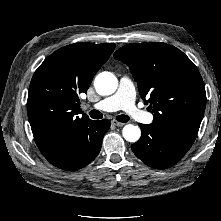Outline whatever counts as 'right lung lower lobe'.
Here are the masks:
<instances>
[{"mask_svg": "<svg viewBox=\"0 0 221 221\" xmlns=\"http://www.w3.org/2000/svg\"><path fill=\"white\" fill-rule=\"evenodd\" d=\"M109 127V120L92 121L83 128L76 139L43 155L51 164L62 170L81 169L99 154L102 138Z\"/></svg>", "mask_w": 221, "mask_h": 221, "instance_id": "98d812e1", "label": "right lung lower lobe"}]
</instances>
